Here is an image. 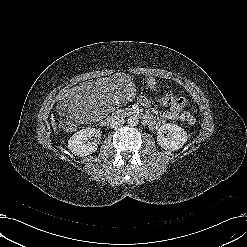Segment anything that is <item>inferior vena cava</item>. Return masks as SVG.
<instances>
[{
	"label": "inferior vena cava",
	"mask_w": 247,
	"mask_h": 247,
	"mask_svg": "<svg viewBox=\"0 0 247 247\" xmlns=\"http://www.w3.org/2000/svg\"><path fill=\"white\" fill-rule=\"evenodd\" d=\"M109 123H110V127L113 128L116 126L123 125L125 123V120L123 117H120L119 115L112 114L109 118Z\"/></svg>",
	"instance_id": "obj_1"
}]
</instances>
